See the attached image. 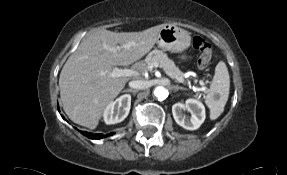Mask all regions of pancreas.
<instances>
[{"instance_id": "1", "label": "pancreas", "mask_w": 287, "mask_h": 175, "mask_svg": "<svg viewBox=\"0 0 287 175\" xmlns=\"http://www.w3.org/2000/svg\"><path fill=\"white\" fill-rule=\"evenodd\" d=\"M145 64L150 67L154 63H158L165 73L178 82L183 79L184 73L175 65L174 61L168 58L167 54L162 50L154 49L145 58Z\"/></svg>"}]
</instances>
